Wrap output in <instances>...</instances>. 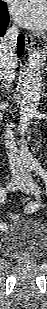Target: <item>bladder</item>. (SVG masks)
I'll return each mask as SVG.
<instances>
[{
	"label": "bladder",
	"mask_w": 47,
	"mask_h": 309,
	"mask_svg": "<svg viewBox=\"0 0 47 309\" xmlns=\"http://www.w3.org/2000/svg\"><path fill=\"white\" fill-rule=\"evenodd\" d=\"M47 229L37 220L19 218L4 232L1 252L9 258H39L46 252Z\"/></svg>",
	"instance_id": "31cf9c89"
}]
</instances>
